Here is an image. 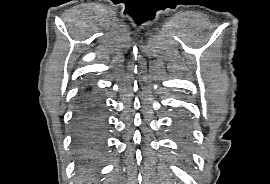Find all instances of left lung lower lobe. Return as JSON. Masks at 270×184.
I'll return each mask as SVG.
<instances>
[{
  "label": "left lung lower lobe",
  "instance_id": "left-lung-lower-lobe-1",
  "mask_svg": "<svg viewBox=\"0 0 270 184\" xmlns=\"http://www.w3.org/2000/svg\"><path fill=\"white\" fill-rule=\"evenodd\" d=\"M176 134L183 147H186L190 139V131L187 123L181 119L177 122L175 127Z\"/></svg>",
  "mask_w": 270,
  "mask_h": 184
}]
</instances>
